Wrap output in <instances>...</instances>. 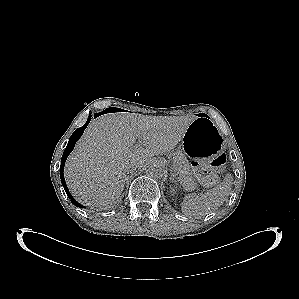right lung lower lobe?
Returning <instances> with one entry per match:
<instances>
[{
    "instance_id": "98d812e1",
    "label": "right lung lower lobe",
    "mask_w": 299,
    "mask_h": 299,
    "mask_svg": "<svg viewBox=\"0 0 299 299\" xmlns=\"http://www.w3.org/2000/svg\"><path fill=\"white\" fill-rule=\"evenodd\" d=\"M91 120V115H89V118L87 120V122L80 128H78L77 130H75V132L72 134V136L70 137L69 139V142L65 148V151L63 153V156H62V159H61V166H60V178H61V182L63 184V187L69 197V199H71V202L75 205V206H78V207H82L80 205V203H78L73 197L72 195L70 194L68 188H67V185L65 183V179H64V165H65V162H66V159L68 157V155L71 153V151L74 149V146H75V143L76 141L79 140V138L81 137V135L83 134L84 130L86 129V127L88 126L89 122Z\"/></svg>"
}]
</instances>
